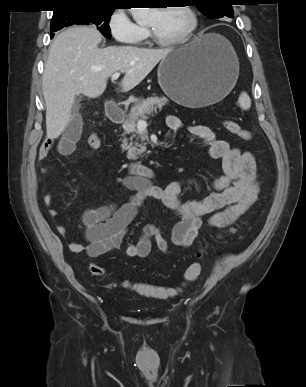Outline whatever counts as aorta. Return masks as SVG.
Returning a JSON list of instances; mask_svg holds the SVG:
<instances>
[{"mask_svg":"<svg viewBox=\"0 0 306 387\" xmlns=\"http://www.w3.org/2000/svg\"><path fill=\"white\" fill-rule=\"evenodd\" d=\"M150 13V8H131L132 17L137 23H141Z\"/></svg>","mask_w":306,"mask_h":387,"instance_id":"1","label":"aorta"}]
</instances>
